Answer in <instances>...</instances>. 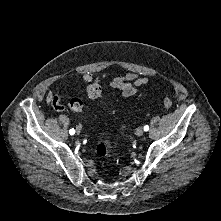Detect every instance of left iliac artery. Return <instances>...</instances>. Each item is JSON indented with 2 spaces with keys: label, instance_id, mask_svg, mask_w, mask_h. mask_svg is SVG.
Returning a JSON list of instances; mask_svg holds the SVG:
<instances>
[{
  "label": "left iliac artery",
  "instance_id": "left-iliac-artery-1",
  "mask_svg": "<svg viewBox=\"0 0 221 221\" xmlns=\"http://www.w3.org/2000/svg\"><path fill=\"white\" fill-rule=\"evenodd\" d=\"M149 130V126H144V131H148Z\"/></svg>",
  "mask_w": 221,
  "mask_h": 221
}]
</instances>
